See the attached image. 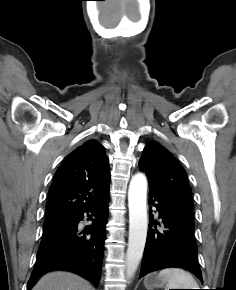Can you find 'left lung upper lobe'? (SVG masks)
Returning a JSON list of instances; mask_svg holds the SVG:
<instances>
[{
  "mask_svg": "<svg viewBox=\"0 0 236 290\" xmlns=\"http://www.w3.org/2000/svg\"><path fill=\"white\" fill-rule=\"evenodd\" d=\"M139 169L146 172L150 190L172 199L193 216L191 187L186 172L166 148L154 141L147 144L139 161Z\"/></svg>",
  "mask_w": 236,
  "mask_h": 290,
  "instance_id": "obj_1",
  "label": "left lung upper lobe"
}]
</instances>
